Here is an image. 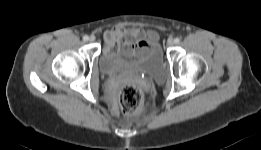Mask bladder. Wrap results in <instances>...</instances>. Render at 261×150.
Returning <instances> with one entry per match:
<instances>
[{
  "mask_svg": "<svg viewBox=\"0 0 261 150\" xmlns=\"http://www.w3.org/2000/svg\"><path fill=\"white\" fill-rule=\"evenodd\" d=\"M99 68L104 74L136 72L156 81L163 80L166 73L163 52L154 36L144 49L124 44L105 47L100 54Z\"/></svg>",
  "mask_w": 261,
  "mask_h": 150,
  "instance_id": "obj_1",
  "label": "bladder"
}]
</instances>
